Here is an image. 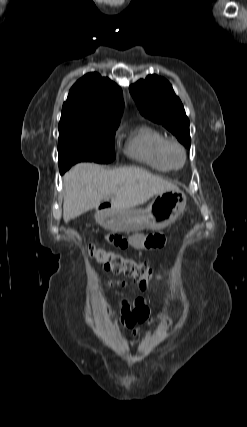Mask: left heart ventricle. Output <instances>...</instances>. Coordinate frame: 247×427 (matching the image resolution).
<instances>
[{
	"instance_id": "obj_1",
	"label": "left heart ventricle",
	"mask_w": 247,
	"mask_h": 427,
	"mask_svg": "<svg viewBox=\"0 0 247 427\" xmlns=\"http://www.w3.org/2000/svg\"><path fill=\"white\" fill-rule=\"evenodd\" d=\"M175 157H176V158H179V154H178V153H176V154H175Z\"/></svg>"
}]
</instances>
